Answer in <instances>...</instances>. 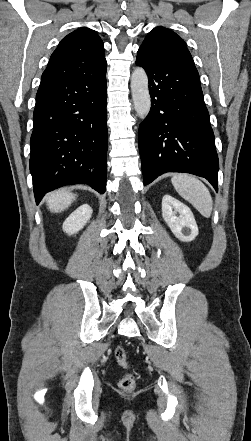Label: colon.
<instances>
[{
    "instance_id": "obj_1",
    "label": "colon",
    "mask_w": 251,
    "mask_h": 441,
    "mask_svg": "<svg viewBox=\"0 0 251 441\" xmlns=\"http://www.w3.org/2000/svg\"><path fill=\"white\" fill-rule=\"evenodd\" d=\"M114 356L119 366H121L124 369L129 368V362L126 353L122 347L118 346L115 348ZM135 386H136V377L132 373H126L119 380V387L124 391H132L134 390Z\"/></svg>"
}]
</instances>
